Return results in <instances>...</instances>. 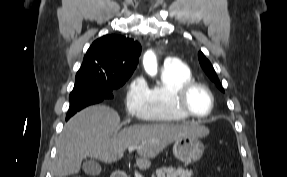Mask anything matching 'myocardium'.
<instances>
[{"instance_id": "myocardium-1", "label": "myocardium", "mask_w": 287, "mask_h": 177, "mask_svg": "<svg viewBox=\"0 0 287 177\" xmlns=\"http://www.w3.org/2000/svg\"><path fill=\"white\" fill-rule=\"evenodd\" d=\"M196 88L203 89L209 95V98L211 101L210 109H209L208 113L204 116H200V115L193 113L188 106V97H189L190 93ZM175 107L180 113H182V114H184L190 118L197 119V120H205V119L209 118L214 111L215 97H214L212 90L207 85H205L201 82H197V81L192 80V81L185 83L179 89V91L175 97Z\"/></svg>"}]
</instances>
